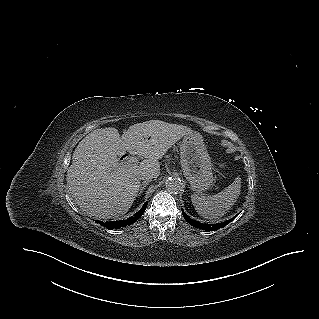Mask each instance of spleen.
I'll use <instances>...</instances> for the list:
<instances>
[{
  "label": "spleen",
  "instance_id": "3e777b00",
  "mask_svg": "<svg viewBox=\"0 0 319 319\" xmlns=\"http://www.w3.org/2000/svg\"><path fill=\"white\" fill-rule=\"evenodd\" d=\"M241 189V178L235 180L223 191L213 196L191 195L197 213L209 220H218L236 203Z\"/></svg>",
  "mask_w": 319,
  "mask_h": 319
}]
</instances>
